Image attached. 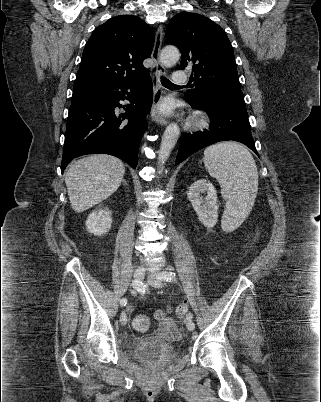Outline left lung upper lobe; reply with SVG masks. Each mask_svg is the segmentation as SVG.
Instances as JSON below:
<instances>
[{
  "label": "left lung upper lobe",
  "mask_w": 321,
  "mask_h": 402,
  "mask_svg": "<svg viewBox=\"0 0 321 402\" xmlns=\"http://www.w3.org/2000/svg\"><path fill=\"white\" fill-rule=\"evenodd\" d=\"M166 39L182 54L180 69L192 67L194 89L186 92L188 103H201L217 92H241L233 48L219 25L183 12L169 22Z\"/></svg>",
  "instance_id": "obj_1"
}]
</instances>
